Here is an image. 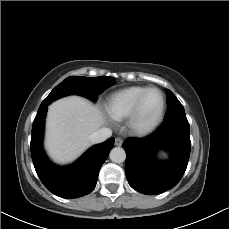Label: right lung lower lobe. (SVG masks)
I'll return each mask as SVG.
<instances>
[{
	"label": "right lung lower lobe",
	"mask_w": 229,
	"mask_h": 229,
	"mask_svg": "<svg viewBox=\"0 0 229 229\" xmlns=\"http://www.w3.org/2000/svg\"><path fill=\"white\" fill-rule=\"evenodd\" d=\"M48 105L41 103L33 122L30 146L35 170L44 186L57 196L71 199L89 194L95 188L99 170L114 146V138L93 146L70 166L54 165L42 147Z\"/></svg>",
	"instance_id": "obj_1"
}]
</instances>
